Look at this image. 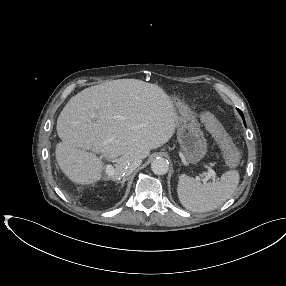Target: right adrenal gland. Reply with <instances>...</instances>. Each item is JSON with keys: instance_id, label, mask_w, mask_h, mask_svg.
Here are the masks:
<instances>
[{"instance_id": "right-adrenal-gland-1", "label": "right adrenal gland", "mask_w": 286, "mask_h": 286, "mask_svg": "<svg viewBox=\"0 0 286 286\" xmlns=\"http://www.w3.org/2000/svg\"><path fill=\"white\" fill-rule=\"evenodd\" d=\"M127 180V178H123L122 179V181H120V183H121V187H123L124 186V183H125V181ZM117 183H119V182H117Z\"/></svg>"}]
</instances>
